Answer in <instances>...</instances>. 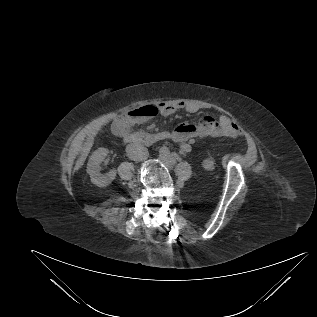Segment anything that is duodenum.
<instances>
[{
    "label": "duodenum",
    "mask_w": 317,
    "mask_h": 317,
    "mask_svg": "<svg viewBox=\"0 0 317 317\" xmlns=\"http://www.w3.org/2000/svg\"><path fill=\"white\" fill-rule=\"evenodd\" d=\"M116 126L118 130L121 131L118 125ZM121 132H124V131H121ZM123 137L130 144L151 146L161 141L170 139L171 134L168 131H161L156 133L137 132V133H123Z\"/></svg>",
    "instance_id": "obj_1"
}]
</instances>
